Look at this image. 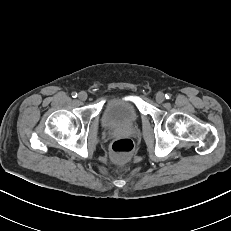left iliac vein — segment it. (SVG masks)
<instances>
[{
  "mask_svg": "<svg viewBox=\"0 0 231 231\" xmlns=\"http://www.w3.org/2000/svg\"><path fill=\"white\" fill-rule=\"evenodd\" d=\"M156 101H157L158 103L164 102V101H165V95H164L163 93H161V92H158V93L156 94Z\"/></svg>",
  "mask_w": 231,
  "mask_h": 231,
  "instance_id": "left-iliac-vein-1",
  "label": "left iliac vein"
}]
</instances>
